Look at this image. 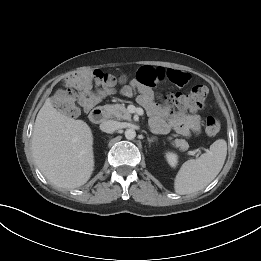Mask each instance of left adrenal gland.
<instances>
[{
    "label": "left adrenal gland",
    "instance_id": "a2214340",
    "mask_svg": "<svg viewBox=\"0 0 261 261\" xmlns=\"http://www.w3.org/2000/svg\"><path fill=\"white\" fill-rule=\"evenodd\" d=\"M147 140H148V142L150 144L152 142H155L157 140V138L156 137H151V138L147 137Z\"/></svg>",
    "mask_w": 261,
    "mask_h": 261
}]
</instances>
